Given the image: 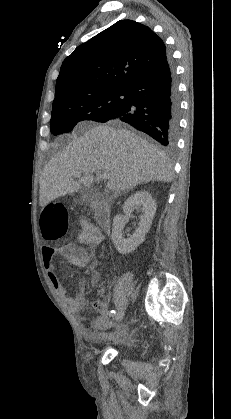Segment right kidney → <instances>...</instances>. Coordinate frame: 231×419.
Segmentation results:
<instances>
[{"label":"right kidney","mask_w":231,"mask_h":419,"mask_svg":"<svg viewBox=\"0 0 231 419\" xmlns=\"http://www.w3.org/2000/svg\"><path fill=\"white\" fill-rule=\"evenodd\" d=\"M135 208H140L142 215L135 232L128 238H125L123 233L124 216L116 215L113 219L111 239L115 248L121 254L133 252L144 241L156 212V202L147 191H137L125 201L123 212L124 214H130Z\"/></svg>","instance_id":"ca27d5eb"}]
</instances>
